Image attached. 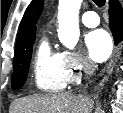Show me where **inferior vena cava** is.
Instances as JSON below:
<instances>
[{"mask_svg": "<svg viewBox=\"0 0 123 113\" xmlns=\"http://www.w3.org/2000/svg\"><path fill=\"white\" fill-rule=\"evenodd\" d=\"M93 72H94V66L92 64H87L86 71H85V73H86L85 79H89L90 76L93 74ZM86 87H87V85H86ZM84 91H85V89H84Z\"/></svg>", "mask_w": 123, "mask_h": 113, "instance_id": "inferior-vena-cava-1", "label": "inferior vena cava"}]
</instances>
